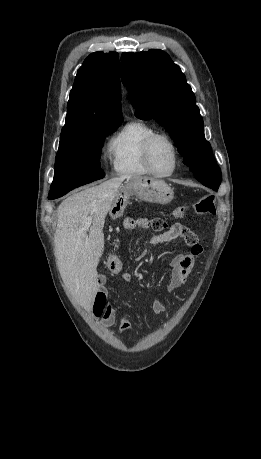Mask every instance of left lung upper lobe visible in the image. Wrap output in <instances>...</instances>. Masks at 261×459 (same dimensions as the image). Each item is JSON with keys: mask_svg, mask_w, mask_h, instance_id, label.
Listing matches in <instances>:
<instances>
[{"mask_svg": "<svg viewBox=\"0 0 261 459\" xmlns=\"http://www.w3.org/2000/svg\"><path fill=\"white\" fill-rule=\"evenodd\" d=\"M121 80L135 114L154 118L169 132L184 156L183 162L203 182L221 183V170L205 139L195 95L178 65L161 50L123 53Z\"/></svg>", "mask_w": 261, "mask_h": 459, "instance_id": "obj_1", "label": "left lung upper lobe"}]
</instances>
